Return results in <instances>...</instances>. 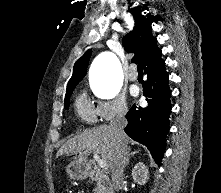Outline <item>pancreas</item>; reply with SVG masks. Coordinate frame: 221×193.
<instances>
[{
    "mask_svg": "<svg viewBox=\"0 0 221 193\" xmlns=\"http://www.w3.org/2000/svg\"><path fill=\"white\" fill-rule=\"evenodd\" d=\"M95 193H105V187L99 182L95 188Z\"/></svg>",
    "mask_w": 221,
    "mask_h": 193,
    "instance_id": "cf45deb5",
    "label": "pancreas"
}]
</instances>
